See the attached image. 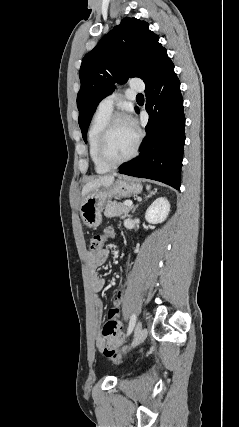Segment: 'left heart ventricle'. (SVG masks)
<instances>
[{
	"label": "left heart ventricle",
	"mask_w": 239,
	"mask_h": 427,
	"mask_svg": "<svg viewBox=\"0 0 239 427\" xmlns=\"http://www.w3.org/2000/svg\"><path fill=\"white\" fill-rule=\"evenodd\" d=\"M135 130L126 121L116 123L110 133L106 155L111 160H120L127 156L134 147Z\"/></svg>",
	"instance_id": "left-heart-ventricle-1"
}]
</instances>
